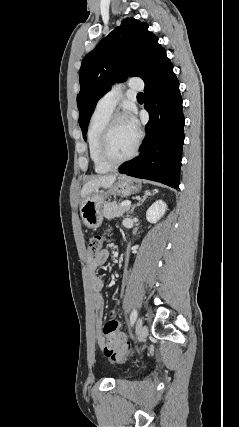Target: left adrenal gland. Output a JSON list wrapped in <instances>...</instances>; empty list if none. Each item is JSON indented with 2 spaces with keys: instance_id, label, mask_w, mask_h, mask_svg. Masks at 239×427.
Masks as SVG:
<instances>
[{
  "instance_id": "a2214340",
  "label": "left adrenal gland",
  "mask_w": 239,
  "mask_h": 427,
  "mask_svg": "<svg viewBox=\"0 0 239 427\" xmlns=\"http://www.w3.org/2000/svg\"><path fill=\"white\" fill-rule=\"evenodd\" d=\"M157 190H155V192L151 193L150 191H146L144 193V196L142 197V199L137 203L134 204L130 210V214H132L134 212V209L136 208V206H140L149 196H152L156 193Z\"/></svg>"
}]
</instances>
